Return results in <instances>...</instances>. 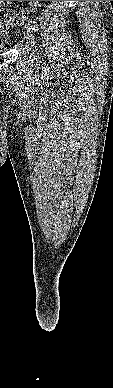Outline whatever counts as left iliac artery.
Listing matches in <instances>:
<instances>
[{
    "instance_id": "44dca946",
    "label": "left iliac artery",
    "mask_w": 113,
    "mask_h": 388,
    "mask_svg": "<svg viewBox=\"0 0 113 388\" xmlns=\"http://www.w3.org/2000/svg\"><path fill=\"white\" fill-rule=\"evenodd\" d=\"M28 24L31 26V29H32L33 31H36L37 24H36V21H35V20H29Z\"/></svg>"
}]
</instances>
